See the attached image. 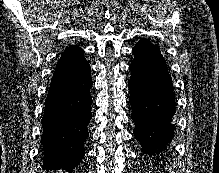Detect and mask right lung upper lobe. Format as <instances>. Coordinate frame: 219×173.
I'll list each match as a JSON object with an SVG mask.
<instances>
[{
    "label": "right lung upper lobe",
    "mask_w": 219,
    "mask_h": 173,
    "mask_svg": "<svg viewBox=\"0 0 219 173\" xmlns=\"http://www.w3.org/2000/svg\"><path fill=\"white\" fill-rule=\"evenodd\" d=\"M83 52L82 49H80L77 46H71L67 48L63 53H62V58L63 59H71L72 57H75L77 55H81Z\"/></svg>",
    "instance_id": "obj_1"
}]
</instances>
